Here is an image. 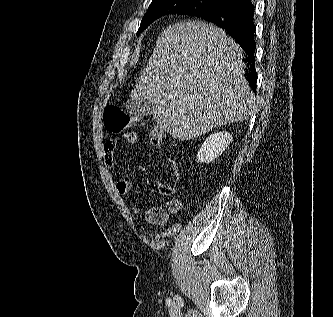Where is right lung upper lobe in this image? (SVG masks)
Here are the masks:
<instances>
[{
  "label": "right lung upper lobe",
  "instance_id": "right-lung-upper-lobe-1",
  "mask_svg": "<svg viewBox=\"0 0 333 317\" xmlns=\"http://www.w3.org/2000/svg\"><path fill=\"white\" fill-rule=\"evenodd\" d=\"M227 1H229V3H233V2H236L238 0H227Z\"/></svg>",
  "mask_w": 333,
  "mask_h": 317
}]
</instances>
